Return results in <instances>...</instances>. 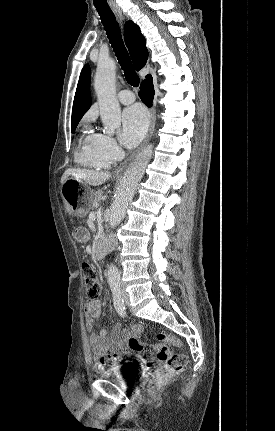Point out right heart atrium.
<instances>
[{"label":"right heart atrium","mask_w":275,"mask_h":431,"mask_svg":"<svg viewBox=\"0 0 275 431\" xmlns=\"http://www.w3.org/2000/svg\"><path fill=\"white\" fill-rule=\"evenodd\" d=\"M98 149L103 156L112 162L118 160L122 155V150L116 140L107 134H99Z\"/></svg>","instance_id":"right-heart-atrium-1"}]
</instances>
